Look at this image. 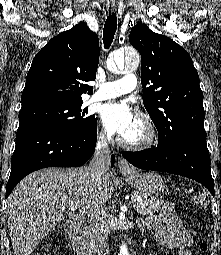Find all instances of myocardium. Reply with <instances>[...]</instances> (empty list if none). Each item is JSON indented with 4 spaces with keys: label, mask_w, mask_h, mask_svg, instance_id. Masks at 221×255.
I'll return each instance as SVG.
<instances>
[{
    "label": "myocardium",
    "mask_w": 221,
    "mask_h": 255,
    "mask_svg": "<svg viewBox=\"0 0 221 255\" xmlns=\"http://www.w3.org/2000/svg\"><path fill=\"white\" fill-rule=\"evenodd\" d=\"M136 120L142 125L144 130V135L141 139L130 141L125 139L123 136L118 138V143L126 149L141 151L147 150L155 145L158 139V132L155 123L152 119L144 114L138 113Z\"/></svg>",
    "instance_id": "myocardium-1"
}]
</instances>
